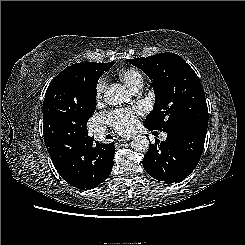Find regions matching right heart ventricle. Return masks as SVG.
Here are the masks:
<instances>
[{
  "label": "right heart ventricle",
  "mask_w": 245,
  "mask_h": 245,
  "mask_svg": "<svg viewBox=\"0 0 245 245\" xmlns=\"http://www.w3.org/2000/svg\"><path fill=\"white\" fill-rule=\"evenodd\" d=\"M118 77L132 90H136L143 85V74L139 69L134 67L120 70Z\"/></svg>",
  "instance_id": "obj_1"
}]
</instances>
